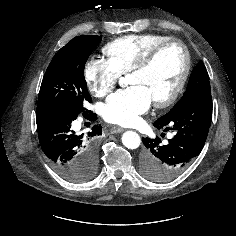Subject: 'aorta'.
Returning a JSON list of instances; mask_svg holds the SVG:
<instances>
[{"label": "aorta", "mask_w": 236, "mask_h": 236, "mask_svg": "<svg viewBox=\"0 0 236 236\" xmlns=\"http://www.w3.org/2000/svg\"><path fill=\"white\" fill-rule=\"evenodd\" d=\"M122 143L128 149H136L140 146V136L134 131H126L122 135Z\"/></svg>", "instance_id": "obj_1"}]
</instances>
